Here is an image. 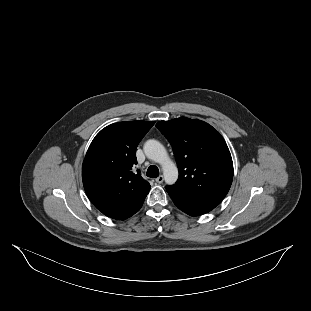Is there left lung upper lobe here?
Segmentation results:
<instances>
[{"label":"left lung upper lobe","instance_id":"5c2ea615","mask_svg":"<svg viewBox=\"0 0 311 311\" xmlns=\"http://www.w3.org/2000/svg\"><path fill=\"white\" fill-rule=\"evenodd\" d=\"M156 127L172 145L179 178L167 188L219 204L233 180V162L220 133L208 123L186 117L160 121Z\"/></svg>","mask_w":311,"mask_h":311}]
</instances>
